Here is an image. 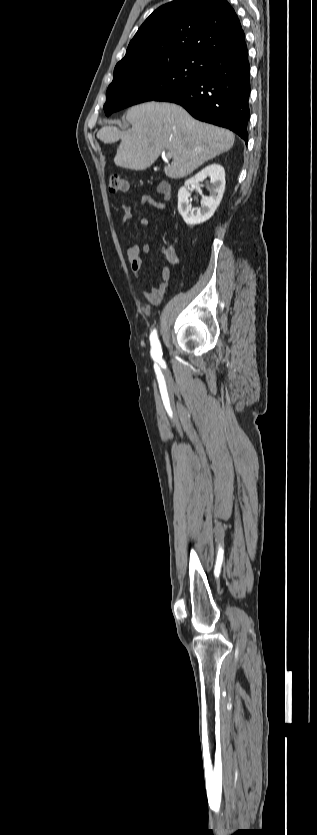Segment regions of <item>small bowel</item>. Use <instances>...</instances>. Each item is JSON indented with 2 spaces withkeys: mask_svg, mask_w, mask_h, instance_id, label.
Segmentation results:
<instances>
[{
  "mask_svg": "<svg viewBox=\"0 0 317 835\" xmlns=\"http://www.w3.org/2000/svg\"><path fill=\"white\" fill-rule=\"evenodd\" d=\"M156 193L161 197L163 201H157L150 195H143L141 198V203L143 205H148L159 210H165L167 205L165 201H169L171 198V190L168 184L162 182L156 186ZM124 222H128L132 219V211L129 206H124ZM139 225L141 227H147L149 225V220L147 218H141L139 220ZM149 251V246L147 244L143 245V247H139L137 245H131L127 249V260L130 264V267L134 273V276L137 280L141 281V268H142V255ZM165 259L170 266H175L179 263V257L176 251L173 248H167L164 251ZM171 277V270L168 266H164L161 272V279L157 285H152L148 289L144 291L145 298L151 305H158L163 300L165 293L167 291L169 281Z\"/></svg>",
  "mask_w": 317,
  "mask_h": 835,
  "instance_id": "obj_1",
  "label": "small bowel"
}]
</instances>
